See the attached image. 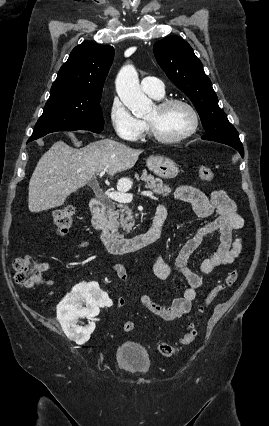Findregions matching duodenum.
<instances>
[{
	"mask_svg": "<svg viewBox=\"0 0 269 426\" xmlns=\"http://www.w3.org/2000/svg\"><path fill=\"white\" fill-rule=\"evenodd\" d=\"M92 225L99 232L101 241L107 252L112 255H121L144 248L157 241L162 233L167 209L160 205L157 207L151 227L142 234L124 238L113 234L106 222V206L102 195H96L90 203Z\"/></svg>",
	"mask_w": 269,
	"mask_h": 426,
	"instance_id": "1",
	"label": "duodenum"
}]
</instances>
